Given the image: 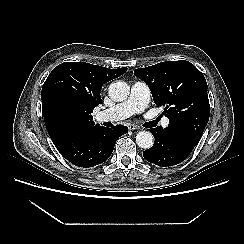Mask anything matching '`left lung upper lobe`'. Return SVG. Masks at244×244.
Returning a JSON list of instances; mask_svg holds the SVG:
<instances>
[{
	"instance_id": "5c2ea615",
	"label": "left lung upper lobe",
	"mask_w": 244,
	"mask_h": 244,
	"mask_svg": "<svg viewBox=\"0 0 244 244\" xmlns=\"http://www.w3.org/2000/svg\"><path fill=\"white\" fill-rule=\"evenodd\" d=\"M134 75L147 83L155 104L165 107L166 128L199 141L210 114L204 75L188 61L161 62L136 69Z\"/></svg>"
}]
</instances>
